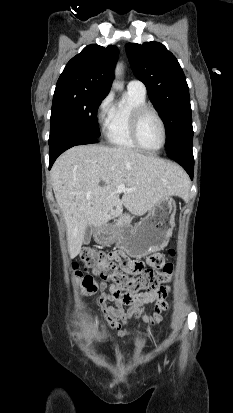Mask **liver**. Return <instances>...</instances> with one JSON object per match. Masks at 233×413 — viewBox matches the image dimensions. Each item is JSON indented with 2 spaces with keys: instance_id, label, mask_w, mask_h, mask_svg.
Instances as JSON below:
<instances>
[{
  "instance_id": "obj_1",
  "label": "liver",
  "mask_w": 233,
  "mask_h": 413,
  "mask_svg": "<svg viewBox=\"0 0 233 413\" xmlns=\"http://www.w3.org/2000/svg\"><path fill=\"white\" fill-rule=\"evenodd\" d=\"M51 180L72 259L81 251L88 226H103L120 215L123 206L141 216L164 198L182 195L187 182L173 163L103 145L75 146L64 152L52 167ZM120 184L127 188L122 199L117 192Z\"/></svg>"
}]
</instances>
